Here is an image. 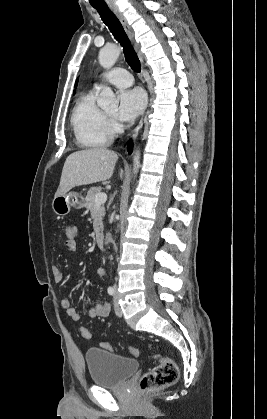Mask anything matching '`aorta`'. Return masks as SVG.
Masks as SVG:
<instances>
[{"label": "aorta", "instance_id": "762f6f07", "mask_svg": "<svg viewBox=\"0 0 267 419\" xmlns=\"http://www.w3.org/2000/svg\"><path fill=\"white\" fill-rule=\"evenodd\" d=\"M120 55V48L116 45L107 46L99 52V63L105 69H110L117 61ZM98 106L103 109H116L118 107V100L113 91L109 87H104L100 98L97 101ZM140 167V152L137 150L133 159V173L137 174Z\"/></svg>", "mask_w": 267, "mask_h": 419}]
</instances>
